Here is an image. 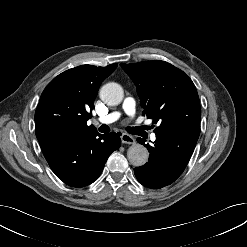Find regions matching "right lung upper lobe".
<instances>
[{
	"mask_svg": "<svg viewBox=\"0 0 247 247\" xmlns=\"http://www.w3.org/2000/svg\"><path fill=\"white\" fill-rule=\"evenodd\" d=\"M117 67L82 65L55 77L44 89L35 112L36 137L45 152L62 133H97L88 126L98 89Z\"/></svg>",
	"mask_w": 247,
	"mask_h": 247,
	"instance_id": "cb5924a9",
	"label": "right lung upper lobe"
}]
</instances>
